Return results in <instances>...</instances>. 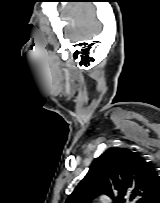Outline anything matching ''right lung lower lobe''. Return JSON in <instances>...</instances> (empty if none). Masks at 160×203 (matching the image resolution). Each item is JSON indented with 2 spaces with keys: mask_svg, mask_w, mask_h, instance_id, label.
<instances>
[{
  "mask_svg": "<svg viewBox=\"0 0 160 203\" xmlns=\"http://www.w3.org/2000/svg\"><path fill=\"white\" fill-rule=\"evenodd\" d=\"M150 203H160V195H158L153 201Z\"/></svg>",
  "mask_w": 160,
  "mask_h": 203,
  "instance_id": "1",
  "label": "right lung lower lobe"
}]
</instances>
